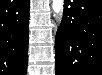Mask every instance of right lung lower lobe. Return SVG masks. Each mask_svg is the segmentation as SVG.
<instances>
[{"instance_id": "1", "label": "right lung lower lobe", "mask_w": 102, "mask_h": 75, "mask_svg": "<svg viewBox=\"0 0 102 75\" xmlns=\"http://www.w3.org/2000/svg\"><path fill=\"white\" fill-rule=\"evenodd\" d=\"M29 0L0 2L1 75H25L28 62Z\"/></svg>"}]
</instances>
